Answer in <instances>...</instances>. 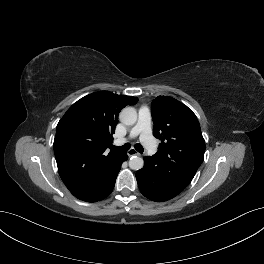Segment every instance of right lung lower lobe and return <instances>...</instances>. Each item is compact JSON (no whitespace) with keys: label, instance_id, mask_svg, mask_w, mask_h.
I'll use <instances>...</instances> for the list:
<instances>
[{"label":"right lung lower lobe","instance_id":"obj_1","mask_svg":"<svg viewBox=\"0 0 264 264\" xmlns=\"http://www.w3.org/2000/svg\"><path fill=\"white\" fill-rule=\"evenodd\" d=\"M128 159V156L126 153L123 154V156L121 157V159L118 161L117 165H116V168H115V171H114V174L112 175V180H111V184L108 188V190L106 191V193L103 195V198L107 197L113 190L114 188V185H115V181H116V177L118 175V172L120 171V168H121V164ZM99 199V200H101Z\"/></svg>","mask_w":264,"mask_h":264}]
</instances>
